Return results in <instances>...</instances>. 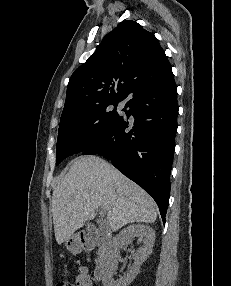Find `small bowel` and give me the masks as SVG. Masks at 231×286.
<instances>
[{
    "label": "small bowel",
    "mask_w": 231,
    "mask_h": 286,
    "mask_svg": "<svg viewBox=\"0 0 231 286\" xmlns=\"http://www.w3.org/2000/svg\"><path fill=\"white\" fill-rule=\"evenodd\" d=\"M75 286H92V278L85 267H78Z\"/></svg>",
    "instance_id": "c3829d8e"
}]
</instances>
